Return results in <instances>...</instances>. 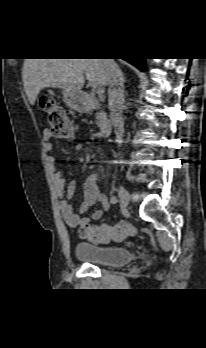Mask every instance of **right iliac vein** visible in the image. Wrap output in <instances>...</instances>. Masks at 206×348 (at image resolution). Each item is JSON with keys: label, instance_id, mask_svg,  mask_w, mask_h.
Wrapping results in <instances>:
<instances>
[{"label": "right iliac vein", "instance_id": "obj_1", "mask_svg": "<svg viewBox=\"0 0 206 348\" xmlns=\"http://www.w3.org/2000/svg\"><path fill=\"white\" fill-rule=\"evenodd\" d=\"M118 193H119L121 207L126 208L130 202L129 192L123 186H120Z\"/></svg>", "mask_w": 206, "mask_h": 348}]
</instances>
